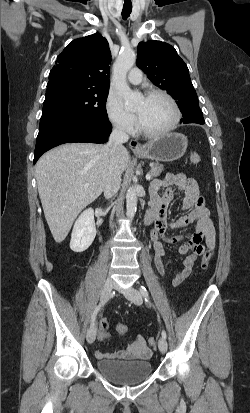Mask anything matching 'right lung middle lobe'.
I'll return each mask as SVG.
<instances>
[{
    "instance_id": "right-lung-middle-lobe-1",
    "label": "right lung middle lobe",
    "mask_w": 250,
    "mask_h": 413,
    "mask_svg": "<svg viewBox=\"0 0 250 413\" xmlns=\"http://www.w3.org/2000/svg\"><path fill=\"white\" fill-rule=\"evenodd\" d=\"M108 91L77 85H62L46 91L39 129L62 119H108Z\"/></svg>"
}]
</instances>
